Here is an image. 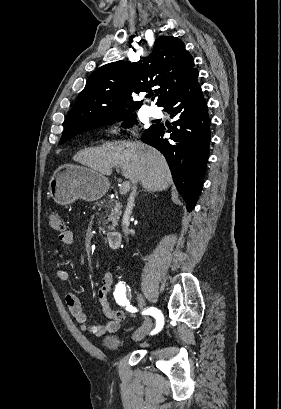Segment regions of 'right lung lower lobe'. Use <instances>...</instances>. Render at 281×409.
Returning a JSON list of instances; mask_svg holds the SVG:
<instances>
[{
    "label": "right lung lower lobe",
    "mask_w": 281,
    "mask_h": 409,
    "mask_svg": "<svg viewBox=\"0 0 281 409\" xmlns=\"http://www.w3.org/2000/svg\"><path fill=\"white\" fill-rule=\"evenodd\" d=\"M198 71L162 107L175 121L157 123L145 130L142 140L166 157L178 192L190 212L196 205L209 157L210 118L197 82ZM170 133V137H166Z\"/></svg>",
    "instance_id": "98d812e1"
}]
</instances>
